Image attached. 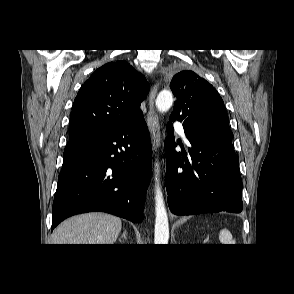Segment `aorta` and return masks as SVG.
Returning <instances> with one entry per match:
<instances>
[{
    "label": "aorta",
    "instance_id": "762f6f07",
    "mask_svg": "<svg viewBox=\"0 0 294 294\" xmlns=\"http://www.w3.org/2000/svg\"><path fill=\"white\" fill-rule=\"evenodd\" d=\"M173 104V95L168 90L161 91L156 99V107L159 112H167ZM159 165H155V233L154 243L166 245L169 240V223L165 208L163 194L159 184Z\"/></svg>",
    "mask_w": 294,
    "mask_h": 294
}]
</instances>
